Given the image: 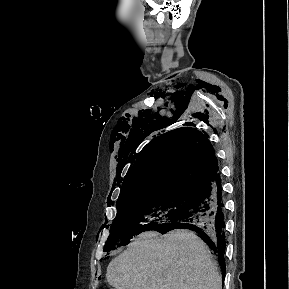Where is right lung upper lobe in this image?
Instances as JSON below:
<instances>
[{
    "mask_svg": "<svg viewBox=\"0 0 289 289\" xmlns=\"http://www.w3.org/2000/svg\"><path fill=\"white\" fill-rule=\"evenodd\" d=\"M218 179V161L206 135L182 127L145 146L124 178L117 203L169 191L198 193Z\"/></svg>",
    "mask_w": 289,
    "mask_h": 289,
    "instance_id": "cb5924a9",
    "label": "right lung upper lobe"
}]
</instances>
